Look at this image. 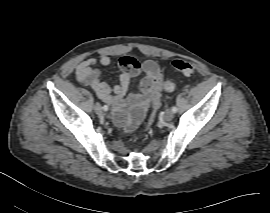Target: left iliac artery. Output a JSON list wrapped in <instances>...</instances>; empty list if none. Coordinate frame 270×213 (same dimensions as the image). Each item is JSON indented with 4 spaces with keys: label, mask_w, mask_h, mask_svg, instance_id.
<instances>
[{
    "label": "left iliac artery",
    "mask_w": 270,
    "mask_h": 213,
    "mask_svg": "<svg viewBox=\"0 0 270 213\" xmlns=\"http://www.w3.org/2000/svg\"><path fill=\"white\" fill-rule=\"evenodd\" d=\"M177 111H178L177 107H176V106H173V107H172V112H173V113H176Z\"/></svg>",
    "instance_id": "left-iliac-artery-1"
}]
</instances>
